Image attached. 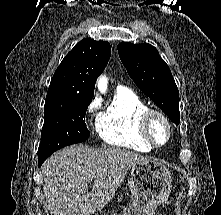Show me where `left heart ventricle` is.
Wrapping results in <instances>:
<instances>
[{"label":"left heart ventricle","instance_id":"obj_1","mask_svg":"<svg viewBox=\"0 0 221 215\" xmlns=\"http://www.w3.org/2000/svg\"><path fill=\"white\" fill-rule=\"evenodd\" d=\"M151 133L158 143H163L167 137V129L163 121L154 118L151 122Z\"/></svg>","mask_w":221,"mask_h":215}]
</instances>
